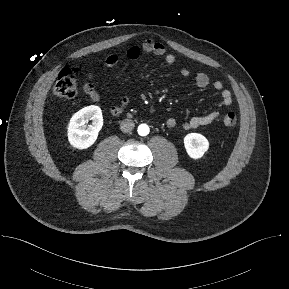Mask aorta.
Wrapping results in <instances>:
<instances>
[{
    "mask_svg": "<svg viewBox=\"0 0 289 289\" xmlns=\"http://www.w3.org/2000/svg\"><path fill=\"white\" fill-rule=\"evenodd\" d=\"M138 134L141 136H146L149 134V126L146 124H141L138 126Z\"/></svg>",
    "mask_w": 289,
    "mask_h": 289,
    "instance_id": "762f6f07",
    "label": "aorta"
}]
</instances>
